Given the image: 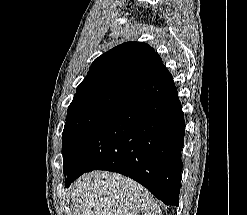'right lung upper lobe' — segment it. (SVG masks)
Instances as JSON below:
<instances>
[{"mask_svg":"<svg viewBox=\"0 0 247 215\" xmlns=\"http://www.w3.org/2000/svg\"><path fill=\"white\" fill-rule=\"evenodd\" d=\"M161 64L160 56L147 43H123L94 60L77 92L107 88L132 89Z\"/></svg>","mask_w":247,"mask_h":215,"instance_id":"obj_1","label":"right lung upper lobe"}]
</instances>
